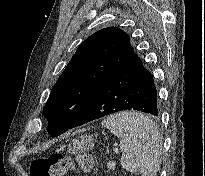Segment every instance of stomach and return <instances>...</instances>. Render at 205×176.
<instances>
[{"instance_id":"obj_1","label":"stomach","mask_w":205,"mask_h":176,"mask_svg":"<svg viewBox=\"0 0 205 176\" xmlns=\"http://www.w3.org/2000/svg\"><path fill=\"white\" fill-rule=\"evenodd\" d=\"M94 137L92 135H81L69 144V150L71 153H77L78 151H89L94 147Z\"/></svg>"}]
</instances>
